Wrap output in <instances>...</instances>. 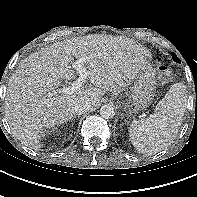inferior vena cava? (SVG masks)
Masks as SVG:
<instances>
[{
	"instance_id": "602c4592",
	"label": "inferior vena cava",
	"mask_w": 197,
	"mask_h": 197,
	"mask_svg": "<svg viewBox=\"0 0 197 197\" xmlns=\"http://www.w3.org/2000/svg\"><path fill=\"white\" fill-rule=\"evenodd\" d=\"M90 108H91V103L89 100L86 99L78 100L73 106V110L76 115H81L87 112Z\"/></svg>"
}]
</instances>
